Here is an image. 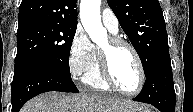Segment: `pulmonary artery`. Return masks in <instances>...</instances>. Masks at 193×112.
<instances>
[{"label":"pulmonary artery","mask_w":193,"mask_h":112,"mask_svg":"<svg viewBox=\"0 0 193 112\" xmlns=\"http://www.w3.org/2000/svg\"><path fill=\"white\" fill-rule=\"evenodd\" d=\"M101 20L103 25L109 32L116 34L119 30V22L116 15L109 8H105L101 14Z\"/></svg>","instance_id":"1"}]
</instances>
